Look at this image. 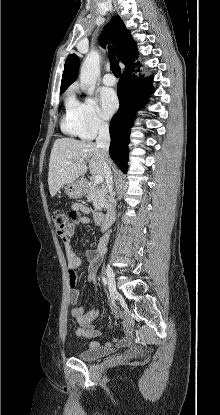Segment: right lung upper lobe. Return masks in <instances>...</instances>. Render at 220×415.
Instances as JSON below:
<instances>
[{"mask_svg":"<svg viewBox=\"0 0 220 415\" xmlns=\"http://www.w3.org/2000/svg\"><path fill=\"white\" fill-rule=\"evenodd\" d=\"M107 39L114 43L117 57L125 64L127 70L140 65L139 62L133 64L134 60L138 58L137 46L118 15L112 17L102 31L99 40L102 47H105ZM78 70L79 59L75 54H71L65 62L60 92H64L76 80Z\"/></svg>","mask_w":220,"mask_h":415,"instance_id":"1","label":"right lung upper lobe"}]
</instances>
